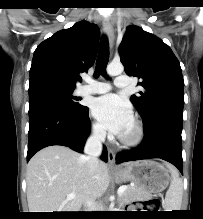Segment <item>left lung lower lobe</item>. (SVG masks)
I'll return each mask as SVG.
<instances>
[{
    "instance_id": "obj_1",
    "label": "left lung lower lobe",
    "mask_w": 203,
    "mask_h": 219,
    "mask_svg": "<svg viewBox=\"0 0 203 219\" xmlns=\"http://www.w3.org/2000/svg\"><path fill=\"white\" fill-rule=\"evenodd\" d=\"M183 110L170 109L154 114L144 122V139L132 150L122 151L117 163L161 158L175 165L183 174L182 159Z\"/></svg>"
}]
</instances>
